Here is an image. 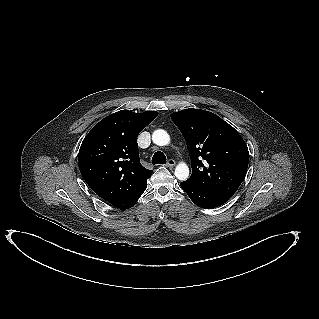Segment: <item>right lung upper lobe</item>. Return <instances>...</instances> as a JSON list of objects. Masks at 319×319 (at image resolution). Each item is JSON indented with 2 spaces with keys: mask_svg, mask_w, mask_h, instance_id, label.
<instances>
[{
  "mask_svg": "<svg viewBox=\"0 0 319 319\" xmlns=\"http://www.w3.org/2000/svg\"><path fill=\"white\" fill-rule=\"evenodd\" d=\"M157 115L118 111L96 124L83 140L80 173L105 201L114 204L147 183L153 171L140 163L137 136Z\"/></svg>",
  "mask_w": 319,
  "mask_h": 319,
  "instance_id": "cb5924a9",
  "label": "right lung upper lobe"
}]
</instances>
